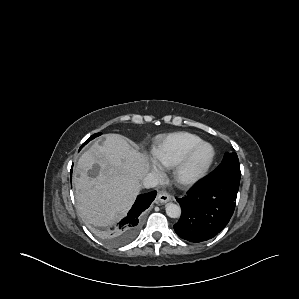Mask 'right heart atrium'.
I'll return each mask as SVG.
<instances>
[{"mask_svg":"<svg viewBox=\"0 0 299 299\" xmlns=\"http://www.w3.org/2000/svg\"><path fill=\"white\" fill-rule=\"evenodd\" d=\"M152 170H153V172H154L157 176H161V175H162L161 168H160L157 164H153V166H152Z\"/></svg>","mask_w":299,"mask_h":299,"instance_id":"1","label":"right heart atrium"}]
</instances>
